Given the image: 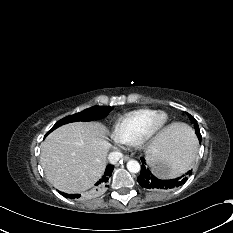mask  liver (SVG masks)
<instances>
[{
    "instance_id": "liver-1",
    "label": "liver",
    "mask_w": 233,
    "mask_h": 233,
    "mask_svg": "<svg viewBox=\"0 0 233 233\" xmlns=\"http://www.w3.org/2000/svg\"><path fill=\"white\" fill-rule=\"evenodd\" d=\"M182 129V124H172L160 132L147 148V159L166 157L171 161ZM110 146L102 124L70 123L48 135L42 144L40 162L55 188L70 194L81 193L103 175Z\"/></svg>"
}]
</instances>
